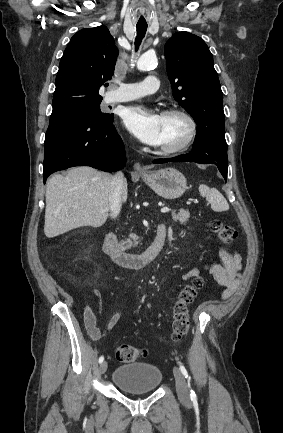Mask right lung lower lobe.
I'll return each instance as SVG.
<instances>
[{"instance_id":"right-lung-lower-lobe-1","label":"right lung lower lobe","mask_w":283,"mask_h":433,"mask_svg":"<svg viewBox=\"0 0 283 433\" xmlns=\"http://www.w3.org/2000/svg\"><path fill=\"white\" fill-rule=\"evenodd\" d=\"M114 115L52 119L44 142V183L53 172L91 166L113 172L125 166L123 142L113 125Z\"/></svg>"}]
</instances>
